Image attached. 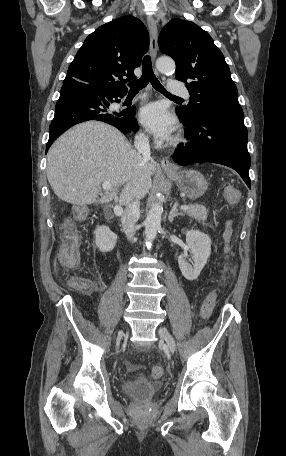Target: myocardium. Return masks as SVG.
I'll return each instance as SVG.
<instances>
[{
    "label": "myocardium",
    "instance_id": "obj_1",
    "mask_svg": "<svg viewBox=\"0 0 286 456\" xmlns=\"http://www.w3.org/2000/svg\"><path fill=\"white\" fill-rule=\"evenodd\" d=\"M179 141H180V140H176V141H175V144H178V143H179Z\"/></svg>",
    "mask_w": 286,
    "mask_h": 456
}]
</instances>
